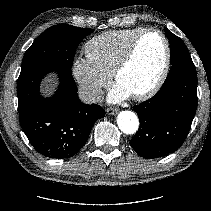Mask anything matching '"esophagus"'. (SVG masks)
<instances>
[{"label": "esophagus", "instance_id": "1", "mask_svg": "<svg viewBox=\"0 0 211 211\" xmlns=\"http://www.w3.org/2000/svg\"><path fill=\"white\" fill-rule=\"evenodd\" d=\"M106 111H107V114L114 115L118 112V109L117 108H108Z\"/></svg>", "mask_w": 211, "mask_h": 211}]
</instances>
